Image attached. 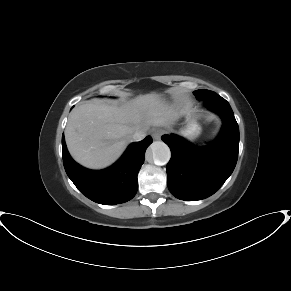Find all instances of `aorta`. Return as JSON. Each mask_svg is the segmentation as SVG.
I'll return each mask as SVG.
<instances>
[{
  "mask_svg": "<svg viewBox=\"0 0 291 291\" xmlns=\"http://www.w3.org/2000/svg\"><path fill=\"white\" fill-rule=\"evenodd\" d=\"M149 153L156 165L167 164L171 157L168 145L162 141H154L149 147Z\"/></svg>",
  "mask_w": 291,
  "mask_h": 291,
  "instance_id": "aorta-1",
  "label": "aorta"
}]
</instances>
